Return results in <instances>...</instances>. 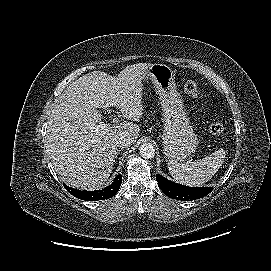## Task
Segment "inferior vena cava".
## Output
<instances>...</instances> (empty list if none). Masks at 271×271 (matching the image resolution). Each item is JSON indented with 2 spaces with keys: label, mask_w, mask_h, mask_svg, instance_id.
Listing matches in <instances>:
<instances>
[{
  "label": "inferior vena cava",
  "mask_w": 271,
  "mask_h": 271,
  "mask_svg": "<svg viewBox=\"0 0 271 271\" xmlns=\"http://www.w3.org/2000/svg\"><path fill=\"white\" fill-rule=\"evenodd\" d=\"M116 147L127 148L132 145V138L127 134H121L114 139Z\"/></svg>",
  "instance_id": "inferior-vena-cava-1"
}]
</instances>
